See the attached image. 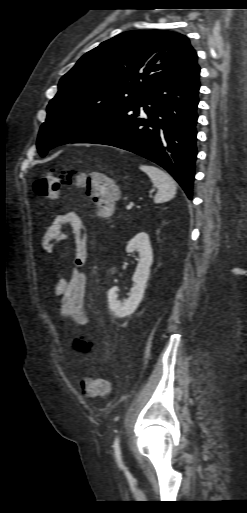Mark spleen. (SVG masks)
Segmentation results:
<instances>
[{"label": "spleen", "mask_w": 247, "mask_h": 513, "mask_svg": "<svg viewBox=\"0 0 247 513\" xmlns=\"http://www.w3.org/2000/svg\"><path fill=\"white\" fill-rule=\"evenodd\" d=\"M140 170L149 176L154 186L158 189L154 197L155 203L167 202L174 198L177 186L174 179L168 173L148 165H141Z\"/></svg>", "instance_id": "3e777b00"}]
</instances>
